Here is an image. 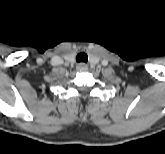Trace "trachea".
Wrapping results in <instances>:
<instances>
[{"label":"trachea","instance_id":"trachea-1","mask_svg":"<svg viewBox=\"0 0 165 154\" xmlns=\"http://www.w3.org/2000/svg\"><path fill=\"white\" fill-rule=\"evenodd\" d=\"M76 60L77 62H83V63H87L88 61V56L86 53L81 52L76 56Z\"/></svg>","mask_w":165,"mask_h":154}]
</instances>
